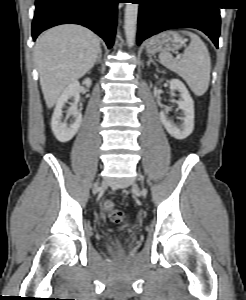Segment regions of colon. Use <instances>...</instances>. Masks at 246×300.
<instances>
[{
	"instance_id": "5ec220e1",
	"label": "colon",
	"mask_w": 246,
	"mask_h": 300,
	"mask_svg": "<svg viewBox=\"0 0 246 300\" xmlns=\"http://www.w3.org/2000/svg\"><path fill=\"white\" fill-rule=\"evenodd\" d=\"M104 215L114 223H123L124 215L116 207L115 203L111 200H106L103 205Z\"/></svg>"
}]
</instances>
